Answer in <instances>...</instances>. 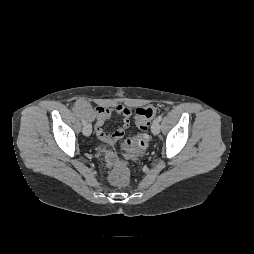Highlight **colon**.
Wrapping results in <instances>:
<instances>
[{"label": "colon", "mask_w": 254, "mask_h": 254, "mask_svg": "<svg viewBox=\"0 0 254 254\" xmlns=\"http://www.w3.org/2000/svg\"><path fill=\"white\" fill-rule=\"evenodd\" d=\"M157 110V107L152 104L136 109L135 119L140 132L134 138L125 141L124 147L127 151L136 153L147 147L149 142V135L147 131L157 113ZM111 180L116 185H126L129 182L128 173L124 169H117L113 172Z\"/></svg>", "instance_id": "1"}]
</instances>
